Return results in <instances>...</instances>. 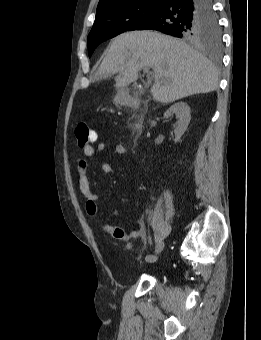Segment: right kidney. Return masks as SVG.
<instances>
[{
    "label": "right kidney",
    "mask_w": 261,
    "mask_h": 340,
    "mask_svg": "<svg viewBox=\"0 0 261 340\" xmlns=\"http://www.w3.org/2000/svg\"><path fill=\"white\" fill-rule=\"evenodd\" d=\"M176 115L178 119L177 125L174 128L175 133V143H177L184 132L187 130L189 122L191 120V110L190 107L185 102H178L172 105L165 113L164 118H169Z\"/></svg>",
    "instance_id": "ca27d5eb"
}]
</instances>
